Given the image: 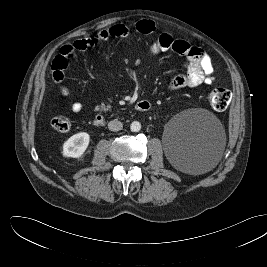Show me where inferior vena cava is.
<instances>
[{"label":"inferior vena cava","instance_id":"602c4592","mask_svg":"<svg viewBox=\"0 0 267 267\" xmlns=\"http://www.w3.org/2000/svg\"><path fill=\"white\" fill-rule=\"evenodd\" d=\"M123 127V124L118 121L117 119H114L108 123V128L110 131H119Z\"/></svg>","mask_w":267,"mask_h":267}]
</instances>
